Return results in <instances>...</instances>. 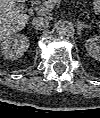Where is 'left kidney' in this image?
<instances>
[{
  "label": "left kidney",
  "mask_w": 100,
  "mask_h": 118,
  "mask_svg": "<svg viewBox=\"0 0 100 118\" xmlns=\"http://www.w3.org/2000/svg\"><path fill=\"white\" fill-rule=\"evenodd\" d=\"M87 52L91 57L100 60V37L94 36L88 39L85 43Z\"/></svg>",
  "instance_id": "1"
}]
</instances>
